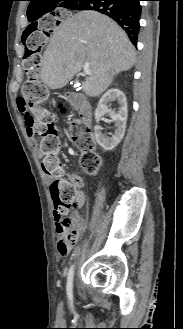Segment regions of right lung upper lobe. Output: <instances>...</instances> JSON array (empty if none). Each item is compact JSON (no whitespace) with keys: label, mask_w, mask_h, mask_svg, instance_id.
<instances>
[{"label":"right lung upper lobe","mask_w":183,"mask_h":329,"mask_svg":"<svg viewBox=\"0 0 183 329\" xmlns=\"http://www.w3.org/2000/svg\"><path fill=\"white\" fill-rule=\"evenodd\" d=\"M31 3L29 4L28 10H27V16L28 20L33 22L32 24L36 23L34 22L38 18H40L42 15L53 11H47L52 5L57 4V6L65 7L68 5V3L72 0H29Z\"/></svg>","instance_id":"obj_1"}]
</instances>
